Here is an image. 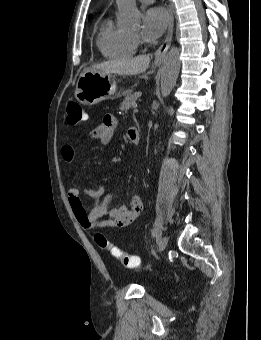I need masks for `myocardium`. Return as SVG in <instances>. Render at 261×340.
<instances>
[{"label": "myocardium", "instance_id": "obj_1", "mask_svg": "<svg viewBox=\"0 0 261 340\" xmlns=\"http://www.w3.org/2000/svg\"><path fill=\"white\" fill-rule=\"evenodd\" d=\"M134 38H135V40L137 41V37L135 36Z\"/></svg>", "mask_w": 261, "mask_h": 340}]
</instances>
